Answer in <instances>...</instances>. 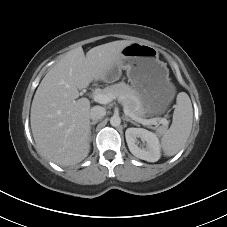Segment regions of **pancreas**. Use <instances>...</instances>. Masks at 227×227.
I'll return each instance as SVG.
<instances>
[{"mask_svg":"<svg viewBox=\"0 0 227 227\" xmlns=\"http://www.w3.org/2000/svg\"><path fill=\"white\" fill-rule=\"evenodd\" d=\"M100 93L110 95L113 99L120 100L135 116L140 118L145 117L144 107L138 93L125 82L108 86L101 90ZM165 127L166 126L161 127L159 130L161 131L165 129Z\"/></svg>","mask_w":227,"mask_h":227,"instance_id":"obj_1","label":"pancreas"}]
</instances>
